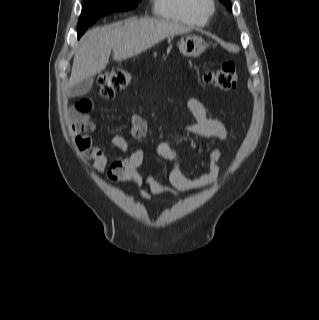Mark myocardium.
<instances>
[{
    "mask_svg": "<svg viewBox=\"0 0 319 320\" xmlns=\"http://www.w3.org/2000/svg\"><path fill=\"white\" fill-rule=\"evenodd\" d=\"M209 1V10H210V13L212 14L215 10V2L214 0H208Z\"/></svg>",
    "mask_w": 319,
    "mask_h": 320,
    "instance_id": "myocardium-1",
    "label": "myocardium"
}]
</instances>
